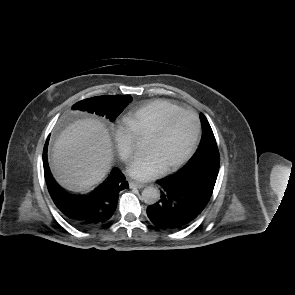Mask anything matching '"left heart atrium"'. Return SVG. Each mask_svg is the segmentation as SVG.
I'll use <instances>...</instances> for the list:
<instances>
[{
  "label": "left heart atrium",
  "instance_id": "1",
  "mask_svg": "<svg viewBox=\"0 0 295 295\" xmlns=\"http://www.w3.org/2000/svg\"><path fill=\"white\" fill-rule=\"evenodd\" d=\"M163 170V166L153 153L135 158L128 167V173L136 179L147 180Z\"/></svg>",
  "mask_w": 295,
  "mask_h": 295
}]
</instances>
